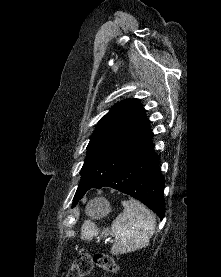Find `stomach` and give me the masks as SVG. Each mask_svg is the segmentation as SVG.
Segmentation results:
<instances>
[{
  "label": "stomach",
  "instance_id": "1",
  "mask_svg": "<svg viewBox=\"0 0 221 277\" xmlns=\"http://www.w3.org/2000/svg\"><path fill=\"white\" fill-rule=\"evenodd\" d=\"M91 212L89 213L93 218L104 216L109 212L110 206L105 200H96L89 205Z\"/></svg>",
  "mask_w": 221,
  "mask_h": 277
}]
</instances>
